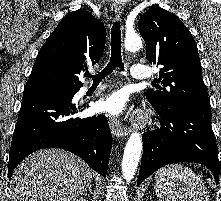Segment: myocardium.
Listing matches in <instances>:
<instances>
[{
  "instance_id": "obj_1",
  "label": "myocardium",
  "mask_w": 221,
  "mask_h": 201,
  "mask_svg": "<svg viewBox=\"0 0 221 201\" xmlns=\"http://www.w3.org/2000/svg\"><path fill=\"white\" fill-rule=\"evenodd\" d=\"M152 122V117L150 115L148 116H143L139 119L140 124H147Z\"/></svg>"
}]
</instances>
